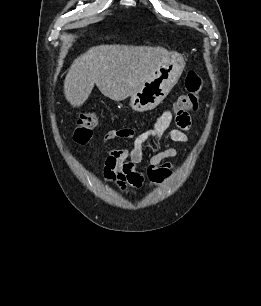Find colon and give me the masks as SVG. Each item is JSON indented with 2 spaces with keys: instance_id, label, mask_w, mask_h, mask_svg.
I'll use <instances>...</instances> for the list:
<instances>
[{
  "instance_id": "colon-1",
  "label": "colon",
  "mask_w": 261,
  "mask_h": 306,
  "mask_svg": "<svg viewBox=\"0 0 261 306\" xmlns=\"http://www.w3.org/2000/svg\"><path fill=\"white\" fill-rule=\"evenodd\" d=\"M185 86L187 92L180 95L174 105L176 114L186 113L189 110L197 109L204 82L198 73L190 71L187 74ZM97 124L98 117L95 113H81L74 129V141L81 145L87 144L91 140Z\"/></svg>"
}]
</instances>
